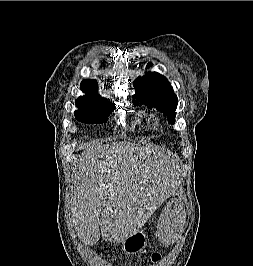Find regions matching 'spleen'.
<instances>
[{
    "label": "spleen",
    "mask_w": 253,
    "mask_h": 266,
    "mask_svg": "<svg viewBox=\"0 0 253 266\" xmlns=\"http://www.w3.org/2000/svg\"><path fill=\"white\" fill-rule=\"evenodd\" d=\"M183 217L181 207H168L164 210L163 215H159L157 222V233L161 242L167 246H174L178 242Z\"/></svg>",
    "instance_id": "1"
}]
</instances>
